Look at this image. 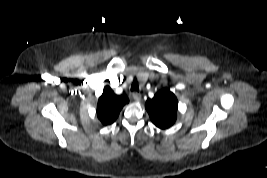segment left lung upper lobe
<instances>
[{
    "instance_id": "obj_1",
    "label": "left lung upper lobe",
    "mask_w": 267,
    "mask_h": 178,
    "mask_svg": "<svg viewBox=\"0 0 267 178\" xmlns=\"http://www.w3.org/2000/svg\"><path fill=\"white\" fill-rule=\"evenodd\" d=\"M145 108L152 122L158 128L166 129L176 121L178 101L168 88H164L146 101Z\"/></svg>"
}]
</instances>
